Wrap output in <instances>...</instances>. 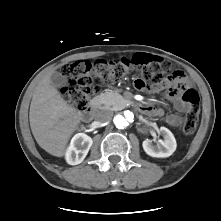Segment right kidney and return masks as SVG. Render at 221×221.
<instances>
[{"instance_id": "right-kidney-1", "label": "right kidney", "mask_w": 221, "mask_h": 221, "mask_svg": "<svg viewBox=\"0 0 221 221\" xmlns=\"http://www.w3.org/2000/svg\"><path fill=\"white\" fill-rule=\"evenodd\" d=\"M92 143V138L85 133L75 134L65 154L66 162L70 165L80 164L85 159Z\"/></svg>"}]
</instances>
